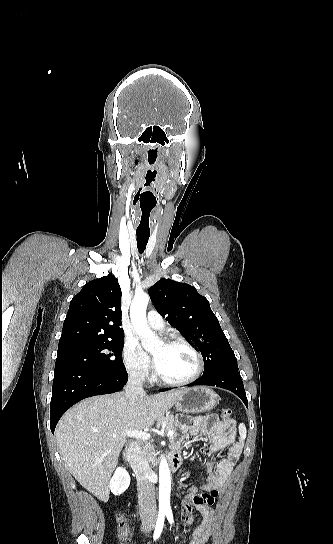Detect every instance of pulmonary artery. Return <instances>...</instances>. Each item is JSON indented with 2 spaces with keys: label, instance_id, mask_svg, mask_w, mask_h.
<instances>
[{
  "label": "pulmonary artery",
  "instance_id": "e3ab8cb5",
  "mask_svg": "<svg viewBox=\"0 0 333 544\" xmlns=\"http://www.w3.org/2000/svg\"><path fill=\"white\" fill-rule=\"evenodd\" d=\"M147 321L149 326L155 330L161 331L165 327V323L162 316L154 310L149 311L147 315Z\"/></svg>",
  "mask_w": 333,
  "mask_h": 544
}]
</instances>
